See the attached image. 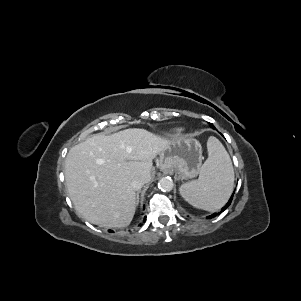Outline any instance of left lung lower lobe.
<instances>
[{
	"label": "left lung lower lobe",
	"instance_id": "left-lung-lower-lobe-1",
	"mask_svg": "<svg viewBox=\"0 0 301 301\" xmlns=\"http://www.w3.org/2000/svg\"><path fill=\"white\" fill-rule=\"evenodd\" d=\"M215 129V128H214ZM234 194V193H233ZM233 194H232V196H231V198L229 199V201L227 202V204L222 208V211H225L227 208H228V206L231 204V201H232V199H233ZM215 216H217V213H214V214H212L211 216H208L207 218H213V217H215Z\"/></svg>",
	"mask_w": 301,
	"mask_h": 301
}]
</instances>
